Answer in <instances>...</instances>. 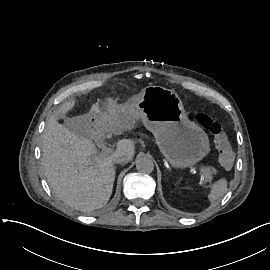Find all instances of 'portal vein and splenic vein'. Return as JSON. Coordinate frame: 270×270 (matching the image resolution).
Here are the masks:
<instances>
[{"label": "portal vein and splenic vein", "instance_id": "1", "mask_svg": "<svg viewBox=\"0 0 270 270\" xmlns=\"http://www.w3.org/2000/svg\"><path fill=\"white\" fill-rule=\"evenodd\" d=\"M100 153L101 154H112L113 153V150L112 149H110V148H104V149H101L100 150ZM191 168V170L194 172V171H196V172H198V174H200V169L198 168V167H196V168H194L193 166H190Z\"/></svg>", "mask_w": 270, "mask_h": 270}]
</instances>
